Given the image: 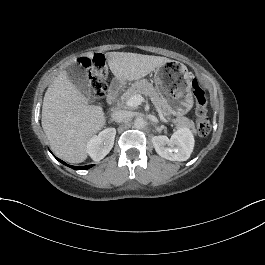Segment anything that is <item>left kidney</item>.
I'll return each instance as SVG.
<instances>
[{"label": "left kidney", "mask_w": 265, "mask_h": 265, "mask_svg": "<svg viewBox=\"0 0 265 265\" xmlns=\"http://www.w3.org/2000/svg\"><path fill=\"white\" fill-rule=\"evenodd\" d=\"M152 143L159 156L170 161H186L194 148V136L189 128L179 127L170 139L154 136Z\"/></svg>", "instance_id": "5707ae66"}]
</instances>
